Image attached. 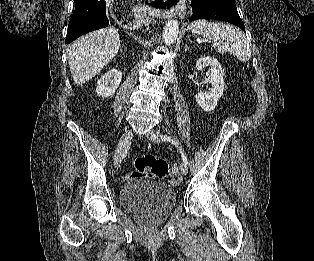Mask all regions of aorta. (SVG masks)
Here are the masks:
<instances>
[{
	"label": "aorta",
	"mask_w": 314,
	"mask_h": 261,
	"mask_svg": "<svg viewBox=\"0 0 314 261\" xmlns=\"http://www.w3.org/2000/svg\"><path fill=\"white\" fill-rule=\"evenodd\" d=\"M179 33V23L175 19L168 20L163 28L162 39L165 45H172Z\"/></svg>",
	"instance_id": "obj_1"
}]
</instances>
